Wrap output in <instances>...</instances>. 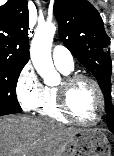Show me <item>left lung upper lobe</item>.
<instances>
[{"label":"left lung upper lobe","mask_w":114,"mask_h":156,"mask_svg":"<svg viewBox=\"0 0 114 156\" xmlns=\"http://www.w3.org/2000/svg\"><path fill=\"white\" fill-rule=\"evenodd\" d=\"M59 36L64 45L97 78L105 98L108 128H114L111 102L112 62L105 48L110 38L99 12L87 0H55Z\"/></svg>","instance_id":"obj_1"}]
</instances>
